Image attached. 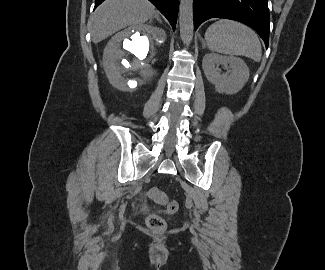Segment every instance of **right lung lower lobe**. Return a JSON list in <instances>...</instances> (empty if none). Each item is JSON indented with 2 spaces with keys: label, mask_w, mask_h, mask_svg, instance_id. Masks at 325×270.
Masks as SVG:
<instances>
[{
  "label": "right lung lower lobe",
  "mask_w": 325,
  "mask_h": 270,
  "mask_svg": "<svg viewBox=\"0 0 325 270\" xmlns=\"http://www.w3.org/2000/svg\"><path fill=\"white\" fill-rule=\"evenodd\" d=\"M104 0H95V8ZM168 19L173 30L176 27L179 0H149Z\"/></svg>",
  "instance_id": "98d812e1"
}]
</instances>
